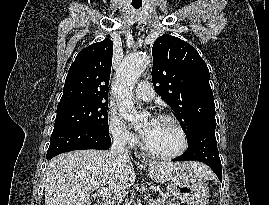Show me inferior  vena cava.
Segmentation results:
<instances>
[{
    "mask_svg": "<svg viewBox=\"0 0 269 205\" xmlns=\"http://www.w3.org/2000/svg\"><path fill=\"white\" fill-rule=\"evenodd\" d=\"M127 138L122 134L113 137L110 153L118 159H129V151L126 147ZM116 205V204H113Z\"/></svg>",
    "mask_w": 269,
    "mask_h": 205,
    "instance_id": "1",
    "label": "inferior vena cava"
}]
</instances>
